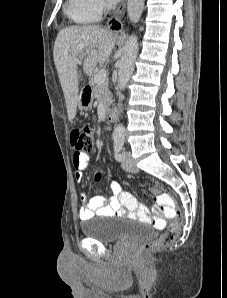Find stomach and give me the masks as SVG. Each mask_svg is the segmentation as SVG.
<instances>
[{"label": "stomach", "instance_id": "obj_1", "mask_svg": "<svg viewBox=\"0 0 227 298\" xmlns=\"http://www.w3.org/2000/svg\"><path fill=\"white\" fill-rule=\"evenodd\" d=\"M93 93H91L90 89L84 88L79 96V101H78V108L81 111H87L92 107L93 103Z\"/></svg>", "mask_w": 227, "mask_h": 298}]
</instances>
